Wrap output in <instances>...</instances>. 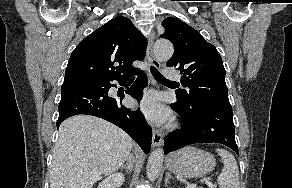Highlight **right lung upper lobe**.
I'll return each mask as SVG.
<instances>
[{
  "label": "right lung upper lobe",
  "instance_id": "1",
  "mask_svg": "<svg viewBox=\"0 0 292 188\" xmlns=\"http://www.w3.org/2000/svg\"><path fill=\"white\" fill-rule=\"evenodd\" d=\"M147 40L131 20L118 16L84 38L70 56L65 80L123 79L143 60Z\"/></svg>",
  "mask_w": 292,
  "mask_h": 188
}]
</instances>
